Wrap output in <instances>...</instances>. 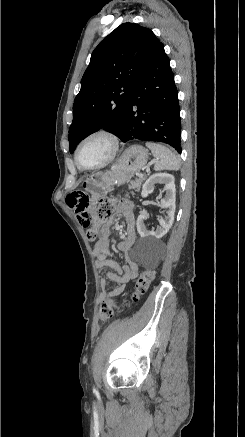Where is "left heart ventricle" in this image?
Here are the masks:
<instances>
[{
    "label": "left heart ventricle",
    "instance_id": "left-heart-ventricle-1",
    "mask_svg": "<svg viewBox=\"0 0 245 437\" xmlns=\"http://www.w3.org/2000/svg\"><path fill=\"white\" fill-rule=\"evenodd\" d=\"M111 151L108 139L98 136L86 141L79 151V160L85 166H93L104 161Z\"/></svg>",
    "mask_w": 245,
    "mask_h": 437
}]
</instances>
